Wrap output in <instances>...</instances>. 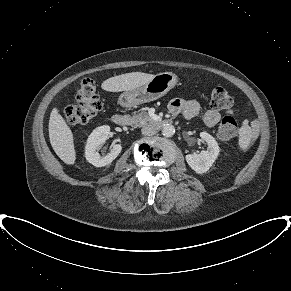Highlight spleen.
I'll list each match as a JSON object with an SVG mask.
<instances>
[{"label":"spleen","mask_w":291,"mask_h":291,"mask_svg":"<svg viewBox=\"0 0 291 291\" xmlns=\"http://www.w3.org/2000/svg\"><path fill=\"white\" fill-rule=\"evenodd\" d=\"M246 128H247V125H244L243 129H246ZM249 143H250L249 137H247L245 135V133L242 132L241 135H240V139H239V146H240V148L241 149H246L249 146Z\"/></svg>","instance_id":"obj_1"}]
</instances>
